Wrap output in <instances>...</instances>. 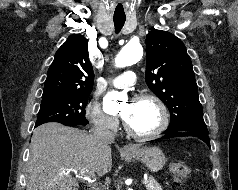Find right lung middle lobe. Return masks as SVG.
I'll list each match as a JSON object with an SVG mask.
<instances>
[{"label":"right lung middle lobe","instance_id":"right-lung-middle-lobe-1","mask_svg":"<svg viewBox=\"0 0 238 190\" xmlns=\"http://www.w3.org/2000/svg\"><path fill=\"white\" fill-rule=\"evenodd\" d=\"M89 94H63L42 97L35 126L46 122L86 125L85 107Z\"/></svg>","mask_w":238,"mask_h":190}]
</instances>
